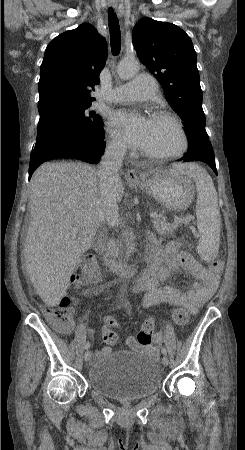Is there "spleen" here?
<instances>
[{"label": "spleen", "instance_id": "obj_1", "mask_svg": "<svg viewBox=\"0 0 245 450\" xmlns=\"http://www.w3.org/2000/svg\"><path fill=\"white\" fill-rule=\"evenodd\" d=\"M182 171L196 183V216L200 239L197 251L204 261H211L218 255L220 245L221 216L217 192L212 178L202 167L190 163L183 165Z\"/></svg>", "mask_w": 245, "mask_h": 450}]
</instances>
